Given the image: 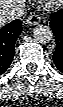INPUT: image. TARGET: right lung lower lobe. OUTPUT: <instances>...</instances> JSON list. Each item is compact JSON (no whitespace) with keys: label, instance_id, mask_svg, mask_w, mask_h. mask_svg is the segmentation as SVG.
<instances>
[{"label":"right lung lower lobe","instance_id":"98d812e1","mask_svg":"<svg viewBox=\"0 0 63 107\" xmlns=\"http://www.w3.org/2000/svg\"><path fill=\"white\" fill-rule=\"evenodd\" d=\"M22 30L19 20H14L0 29V75L11 64L15 51V42Z\"/></svg>","mask_w":63,"mask_h":107}]
</instances>
